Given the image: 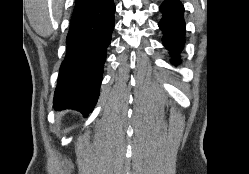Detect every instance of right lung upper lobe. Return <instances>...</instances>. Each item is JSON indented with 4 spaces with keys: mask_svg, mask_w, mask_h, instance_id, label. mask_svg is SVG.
<instances>
[{
    "mask_svg": "<svg viewBox=\"0 0 249 174\" xmlns=\"http://www.w3.org/2000/svg\"><path fill=\"white\" fill-rule=\"evenodd\" d=\"M96 0H76L75 8H80Z\"/></svg>",
    "mask_w": 249,
    "mask_h": 174,
    "instance_id": "cb5924a9",
    "label": "right lung upper lobe"
}]
</instances>
